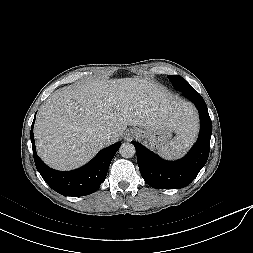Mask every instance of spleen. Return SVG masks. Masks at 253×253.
Wrapping results in <instances>:
<instances>
[{
	"mask_svg": "<svg viewBox=\"0 0 253 253\" xmlns=\"http://www.w3.org/2000/svg\"><path fill=\"white\" fill-rule=\"evenodd\" d=\"M197 132L198 121L194 113H192V116L188 118L179 131H177L174 139L159 149V155L166 159L182 157L195 142Z\"/></svg>",
	"mask_w": 253,
	"mask_h": 253,
	"instance_id": "3e777b00",
	"label": "spleen"
}]
</instances>
